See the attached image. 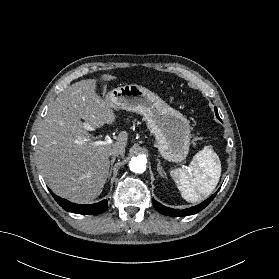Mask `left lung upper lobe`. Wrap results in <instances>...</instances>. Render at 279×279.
<instances>
[{
  "label": "left lung upper lobe",
  "mask_w": 279,
  "mask_h": 279,
  "mask_svg": "<svg viewBox=\"0 0 279 279\" xmlns=\"http://www.w3.org/2000/svg\"><path fill=\"white\" fill-rule=\"evenodd\" d=\"M215 113H216V115L219 117V115H218V112H217V109L215 108Z\"/></svg>",
  "instance_id": "obj_1"
}]
</instances>
